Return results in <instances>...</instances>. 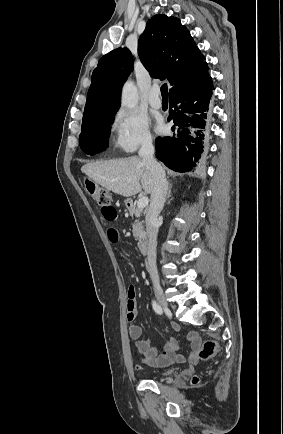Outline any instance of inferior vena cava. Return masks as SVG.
Segmentation results:
<instances>
[{
    "mask_svg": "<svg viewBox=\"0 0 283 434\" xmlns=\"http://www.w3.org/2000/svg\"><path fill=\"white\" fill-rule=\"evenodd\" d=\"M154 146L151 139H147L139 150V156L148 166L153 176V190L151 192V203L146 214V230L148 236L147 261L149 273L154 283L159 282L156 267V247L158 234V215L163 209L167 191L168 182L165 177L163 167L154 159Z\"/></svg>",
    "mask_w": 283,
    "mask_h": 434,
    "instance_id": "602c4592",
    "label": "inferior vena cava"
}]
</instances>
